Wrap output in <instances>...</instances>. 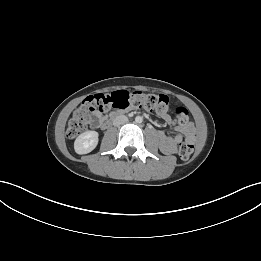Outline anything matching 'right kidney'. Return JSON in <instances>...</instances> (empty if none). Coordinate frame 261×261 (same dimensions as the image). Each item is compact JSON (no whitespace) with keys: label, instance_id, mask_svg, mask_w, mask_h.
Wrapping results in <instances>:
<instances>
[{"label":"right kidney","instance_id":"1","mask_svg":"<svg viewBox=\"0 0 261 261\" xmlns=\"http://www.w3.org/2000/svg\"><path fill=\"white\" fill-rule=\"evenodd\" d=\"M98 132L86 131L80 134L75 142L74 149L77 154H87L95 149L98 144Z\"/></svg>","mask_w":261,"mask_h":261}]
</instances>
